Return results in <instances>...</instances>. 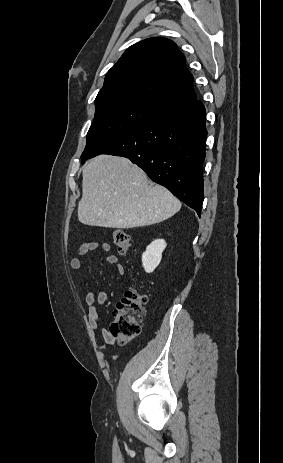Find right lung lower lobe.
<instances>
[{"instance_id": "right-lung-lower-lobe-1", "label": "right lung lower lobe", "mask_w": 283, "mask_h": 463, "mask_svg": "<svg viewBox=\"0 0 283 463\" xmlns=\"http://www.w3.org/2000/svg\"><path fill=\"white\" fill-rule=\"evenodd\" d=\"M205 108L195 99L161 110L96 152L129 158L200 216L203 203Z\"/></svg>"}]
</instances>
